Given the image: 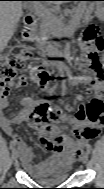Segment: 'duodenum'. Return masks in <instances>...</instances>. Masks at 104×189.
I'll use <instances>...</instances> for the list:
<instances>
[{
  "mask_svg": "<svg viewBox=\"0 0 104 189\" xmlns=\"http://www.w3.org/2000/svg\"><path fill=\"white\" fill-rule=\"evenodd\" d=\"M36 26V19L34 16H26L24 20V30L22 34V40L30 41L33 38V30Z\"/></svg>",
  "mask_w": 104,
  "mask_h": 189,
  "instance_id": "duodenum-1",
  "label": "duodenum"
}]
</instances>
